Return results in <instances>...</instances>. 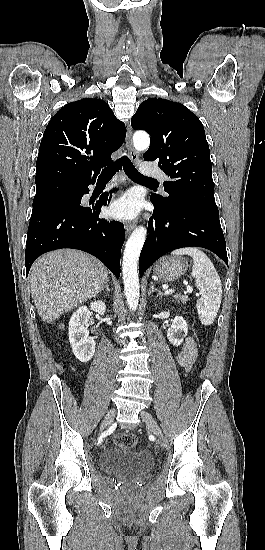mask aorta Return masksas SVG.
Listing matches in <instances>:
<instances>
[{
	"label": "aorta",
	"mask_w": 265,
	"mask_h": 550,
	"mask_svg": "<svg viewBox=\"0 0 265 550\" xmlns=\"http://www.w3.org/2000/svg\"><path fill=\"white\" fill-rule=\"evenodd\" d=\"M136 150L145 151L150 145L149 135L137 132L133 136ZM147 230L143 226L137 227L130 235L123 254L122 272L123 284L127 303L131 310H136L139 303L138 259L146 239Z\"/></svg>",
	"instance_id": "1"
}]
</instances>
